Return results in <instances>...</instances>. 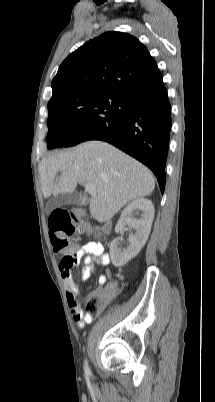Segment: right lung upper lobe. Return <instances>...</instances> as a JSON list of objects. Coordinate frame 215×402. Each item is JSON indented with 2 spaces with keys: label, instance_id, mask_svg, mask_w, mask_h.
Returning a JSON list of instances; mask_svg holds the SVG:
<instances>
[{
  "label": "right lung upper lobe",
  "instance_id": "right-lung-upper-lobe-1",
  "mask_svg": "<svg viewBox=\"0 0 215 402\" xmlns=\"http://www.w3.org/2000/svg\"><path fill=\"white\" fill-rule=\"evenodd\" d=\"M52 98L117 95L131 98L164 88L147 48L135 37L108 32L88 41L60 65Z\"/></svg>",
  "mask_w": 215,
  "mask_h": 402
}]
</instances>
